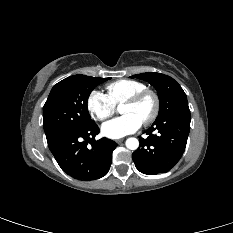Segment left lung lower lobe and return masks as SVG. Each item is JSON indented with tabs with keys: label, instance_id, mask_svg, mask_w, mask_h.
<instances>
[{
	"label": "left lung lower lobe",
	"instance_id": "0a47b994",
	"mask_svg": "<svg viewBox=\"0 0 233 233\" xmlns=\"http://www.w3.org/2000/svg\"><path fill=\"white\" fill-rule=\"evenodd\" d=\"M188 106L172 111L146 131L139 148L132 154L136 168L143 174L155 175L172 169L182 157L190 131Z\"/></svg>",
	"mask_w": 233,
	"mask_h": 233
}]
</instances>
